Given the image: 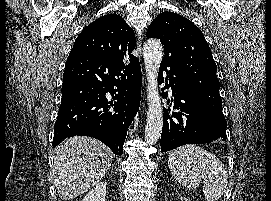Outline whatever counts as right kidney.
<instances>
[{"label": "right kidney", "mask_w": 271, "mask_h": 201, "mask_svg": "<svg viewBox=\"0 0 271 201\" xmlns=\"http://www.w3.org/2000/svg\"><path fill=\"white\" fill-rule=\"evenodd\" d=\"M106 183L96 184L83 198L82 201H106Z\"/></svg>", "instance_id": "1"}]
</instances>
